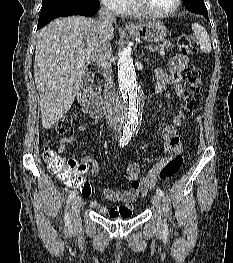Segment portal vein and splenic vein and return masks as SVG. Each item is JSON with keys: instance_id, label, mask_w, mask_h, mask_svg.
<instances>
[{"instance_id": "obj_1", "label": "portal vein and splenic vein", "mask_w": 233, "mask_h": 263, "mask_svg": "<svg viewBox=\"0 0 233 263\" xmlns=\"http://www.w3.org/2000/svg\"><path fill=\"white\" fill-rule=\"evenodd\" d=\"M159 54H160L161 56H163V55H165V51H164V50H160ZM83 64H84V62L81 61V62L78 63V66H82Z\"/></svg>"}]
</instances>
